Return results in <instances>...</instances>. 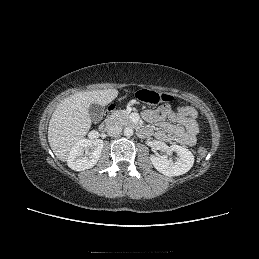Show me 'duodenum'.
<instances>
[{
    "instance_id": "410a0bca",
    "label": "duodenum",
    "mask_w": 259,
    "mask_h": 259,
    "mask_svg": "<svg viewBox=\"0 0 259 259\" xmlns=\"http://www.w3.org/2000/svg\"><path fill=\"white\" fill-rule=\"evenodd\" d=\"M113 125V119L108 117L100 124V131L105 132L109 130Z\"/></svg>"
}]
</instances>
